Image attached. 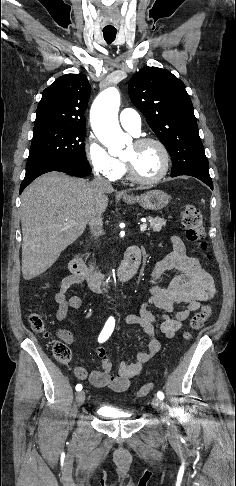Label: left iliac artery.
Here are the masks:
<instances>
[{
	"instance_id": "44dca946",
	"label": "left iliac artery",
	"mask_w": 236,
	"mask_h": 486,
	"mask_svg": "<svg viewBox=\"0 0 236 486\" xmlns=\"http://www.w3.org/2000/svg\"><path fill=\"white\" fill-rule=\"evenodd\" d=\"M157 397H158L159 399L163 400V399H164V394H163V392L159 391V392L157 393Z\"/></svg>"
}]
</instances>
